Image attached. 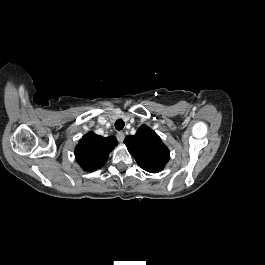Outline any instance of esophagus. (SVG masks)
<instances>
[{
    "instance_id": "obj_1",
    "label": "esophagus",
    "mask_w": 265,
    "mask_h": 265,
    "mask_svg": "<svg viewBox=\"0 0 265 265\" xmlns=\"http://www.w3.org/2000/svg\"><path fill=\"white\" fill-rule=\"evenodd\" d=\"M124 138H125V134H124V132H123V131H119V132L117 133V139H118V141H119L120 143H122L123 140H124Z\"/></svg>"
}]
</instances>
